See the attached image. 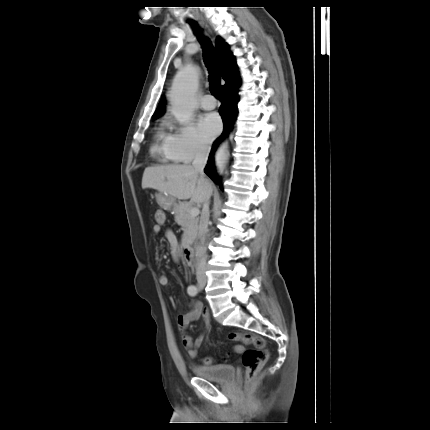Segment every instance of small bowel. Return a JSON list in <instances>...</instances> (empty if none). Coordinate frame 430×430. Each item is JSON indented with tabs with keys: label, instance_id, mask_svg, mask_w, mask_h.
I'll use <instances>...</instances> for the list:
<instances>
[{
	"label": "small bowel",
	"instance_id": "1",
	"mask_svg": "<svg viewBox=\"0 0 430 430\" xmlns=\"http://www.w3.org/2000/svg\"><path fill=\"white\" fill-rule=\"evenodd\" d=\"M152 231L154 234H160L161 232V226L160 225H154L152 228ZM165 237L169 243V249H170V254L171 256L177 260L179 257V246H178V241L177 238L175 236V234L171 231V230H167L165 233ZM159 283L161 286H168L169 285V279L166 275H161L159 277ZM172 304L174 305V303L172 302ZM203 314L204 317V321L205 324L207 326H209V317L207 312H205L203 310L202 304L198 301H195L191 304V308L190 310L183 315L178 316L177 318V323L178 326L184 330L191 322L198 320L201 315ZM182 345L184 346V348L187 351V354L190 358H196L198 355V350L199 348L203 345L204 343V335L201 334L199 335L194 341L193 339L183 333L182 334ZM235 348L237 349H243L242 346H236Z\"/></svg>",
	"mask_w": 430,
	"mask_h": 430
}]
</instances>
